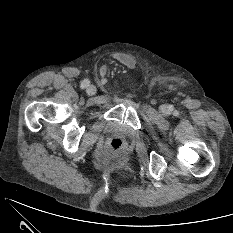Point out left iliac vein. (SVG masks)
Returning <instances> with one entry per match:
<instances>
[{"label":"left iliac vein","mask_w":233,"mask_h":233,"mask_svg":"<svg viewBox=\"0 0 233 233\" xmlns=\"http://www.w3.org/2000/svg\"><path fill=\"white\" fill-rule=\"evenodd\" d=\"M160 111H161V113L166 114L167 111H168L167 106H166V105H162V106L160 107Z\"/></svg>","instance_id":"4c4485c4"}]
</instances>
